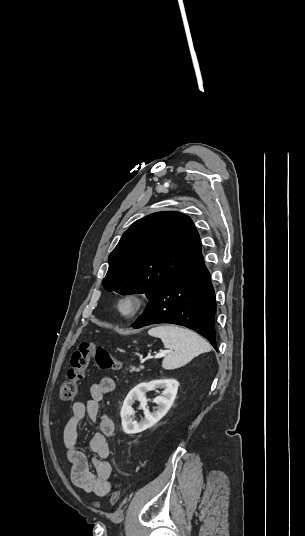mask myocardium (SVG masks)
<instances>
[{
	"label": "myocardium",
	"instance_id": "1",
	"mask_svg": "<svg viewBox=\"0 0 305 536\" xmlns=\"http://www.w3.org/2000/svg\"><path fill=\"white\" fill-rule=\"evenodd\" d=\"M124 300H132L135 304L134 308L125 313L121 310V303ZM149 300L147 295L139 290H130L122 293L116 300L115 312L117 315L125 320H132L142 315L148 308Z\"/></svg>",
	"mask_w": 305,
	"mask_h": 536
}]
</instances>
